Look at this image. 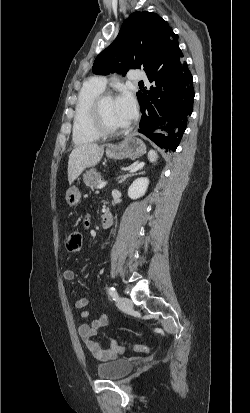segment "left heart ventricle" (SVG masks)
I'll list each match as a JSON object with an SVG mask.
<instances>
[{
	"mask_svg": "<svg viewBox=\"0 0 250 413\" xmlns=\"http://www.w3.org/2000/svg\"><path fill=\"white\" fill-rule=\"evenodd\" d=\"M102 109L106 123L110 127L121 128L124 126L118 117L114 98H106L103 102Z\"/></svg>",
	"mask_w": 250,
	"mask_h": 413,
	"instance_id": "left-heart-ventricle-1",
	"label": "left heart ventricle"
}]
</instances>
